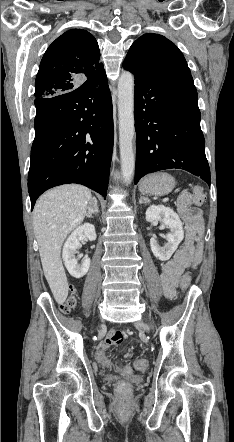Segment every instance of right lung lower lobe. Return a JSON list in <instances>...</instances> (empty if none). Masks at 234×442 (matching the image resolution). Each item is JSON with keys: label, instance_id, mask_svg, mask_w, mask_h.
<instances>
[{"label": "right lung lower lobe", "instance_id": "right-lung-lower-lobe-1", "mask_svg": "<svg viewBox=\"0 0 234 442\" xmlns=\"http://www.w3.org/2000/svg\"><path fill=\"white\" fill-rule=\"evenodd\" d=\"M28 190L31 210L46 190L85 185L106 198L113 149L112 99L105 72L73 91L35 99Z\"/></svg>", "mask_w": 234, "mask_h": 442}]
</instances>
